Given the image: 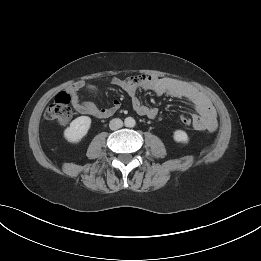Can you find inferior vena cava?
<instances>
[{"mask_svg":"<svg viewBox=\"0 0 261 261\" xmlns=\"http://www.w3.org/2000/svg\"><path fill=\"white\" fill-rule=\"evenodd\" d=\"M123 126V121L119 118L112 119L109 123L111 130H117Z\"/></svg>","mask_w":261,"mask_h":261,"instance_id":"obj_1","label":"inferior vena cava"}]
</instances>
